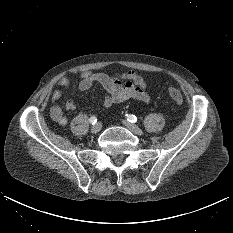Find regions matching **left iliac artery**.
Returning a JSON list of instances; mask_svg holds the SVG:
<instances>
[{
	"label": "left iliac artery",
	"instance_id": "1",
	"mask_svg": "<svg viewBox=\"0 0 233 233\" xmlns=\"http://www.w3.org/2000/svg\"><path fill=\"white\" fill-rule=\"evenodd\" d=\"M126 118H127V120H128L129 122H131V123H135V122L137 121L136 116L131 115V114H126Z\"/></svg>",
	"mask_w": 233,
	"mask_h": 233
}]
</instances>
